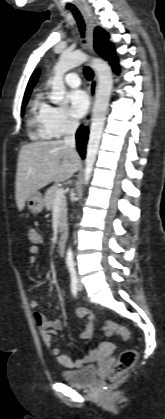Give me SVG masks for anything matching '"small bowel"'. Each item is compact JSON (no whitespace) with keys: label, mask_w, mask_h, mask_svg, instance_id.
Wrapping results in <instances>:
<instances>
[{"label":"small bowel","mask_w":165,"mask_h":419,"mask_svg":"<svg viewBox=\"0 0 165 419\" xmlns=\"http://www.w3.org/2000/svg\"><path fill=\"white\" fill-rule=\"evenodd\" d=\"M40 241L41 240L39 237V241L37 243H33V245H31L29 248L30 256L28 258V263L31 265H34L37 262V256L40 253V248H39ZM39 305H40L39 300H31L30 302V307L34 311L35 322L39 328L42 341L45 345L51 347L53 343V334L62 328V321L56 318L55 319L47 318L43 313L39 311ZM77 314L79 317L86 318L87 320L86 328L82 332L81 337L84 340L90 342L92 339V334H93L94 315L91 311H89L86 308H80L77 311ZM52 354L55 357L56 361L62 366L66 368H70V369H78L92 362L97 357L98 348L97 347L90 348L86 350L82 354L81 357L76 358V359H72L63 355L61 353V350L58 347L52 348Z\"/></svg>","instance_id":"1"}]
</instances>
